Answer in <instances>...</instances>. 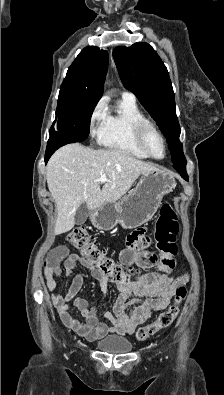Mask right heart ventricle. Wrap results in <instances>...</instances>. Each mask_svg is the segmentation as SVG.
Segmentation results:
<instances>
[{
    "label": "right heart ventricle",
    "mask_w": 224,
    "mask_h": 395,
    "mask_svg": "<svg viewBox=\"0 0 224 395\" xmlns=\"http://www.w3.org/2000/svg\"><path fill=\"white\" fill-rule=\"evenodd\" d=\"M145 119L135 101L122 97L117 109L108 113L103 130L98 137L100 144L129 156L147 159V154L137 145L133 127Z\"/></svg>",
    "instance_id": "right-heart-ventricle-1"
}]
</instances>
